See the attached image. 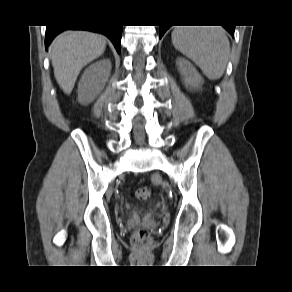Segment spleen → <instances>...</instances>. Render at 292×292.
Returning <instances> with one entry per match:
<instances>
[{
    "mask_svg": "<svg viewBox=\"0 0 292 292\" xmlns=\"http://www.w3.org/2000/svg\"><path fill=\"white\" fill-rule=\"evenodd\" d=\"M171 37L174 47L193 61L208 79L222 77L230 54V42L224 29L178 26Z\"/></svg>",
    "mask_w": 292,
    "mask_h": 292,
    "instance_id": "1",
    "label": "spleen"
}]
</instances>
